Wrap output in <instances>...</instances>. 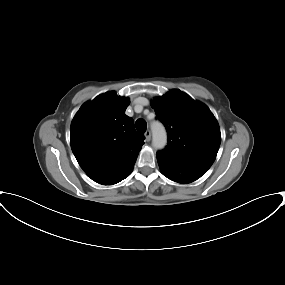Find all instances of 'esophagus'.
<instances>
[{"instance_id": "esophagus-1", "label": "esophagus", "mask_w": 285, "mask_h": 285, "mask_svg": "<svg viewBox=\"0 0 285 285\" xmlns=\"http://www.w3.org/2000/svg\"><path fill=\"white\" fill-rule=\"evenodd\" d=\"M144 135H145L146 141H150L151 140V132H150V130H147Z\"/></svg>"}]
</instances>
